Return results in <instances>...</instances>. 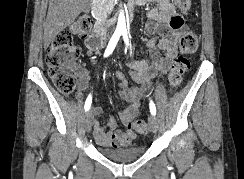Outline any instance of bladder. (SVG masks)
<instances>
[{"instance_id":"31cf9c89","label":"bladder","mask_w":244,"mask_h":179,"mask_svg":"<svg viewBox=\"0 0 244 179\" xmlns=\"http://www.w3.org/2000/svg\"><path fill=\"white\" fill-rule=\"evenodd\" d=\"M100 152L104 157H109L117 161H126L138 159L145 153V147L138 145H129L118 150H109L107 148H100Z\"/></svg>"}]
</instances>
